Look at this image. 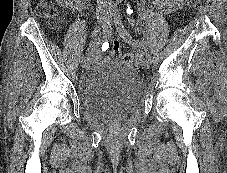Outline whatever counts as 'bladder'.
Wrapping results in <instances>:
<instances>
[{
  "instance_id": "31cf9c89",
  "label": "bladder",
  "mask_w": 227,
  "mask_h": 173,
  "mask_svg": "<svg viewBox=\"0 0 227 173\" xmlns=\"http://www.w3.org/2000/svg\"><path fill=\"white\" fill-rule=\"evenodd\" d=\"M143 93L139 73L131 66L106 61L90 67L79 79L77 95L82 108L106 122H120L133 114Z\"/></svg>"
}]
</instances>
